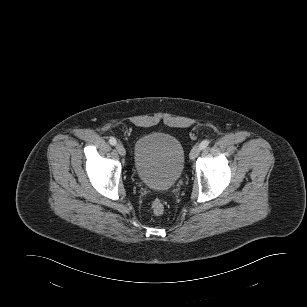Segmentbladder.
I'll use <instances>...</instances> for the list:
<instances>
[{
	"label": "bladder",
	"mask_w": 307,
	"mask_h": 307,
	"mask_svg": "<svg viewBox=\"0 0 307 307\" xmlns=\"http://www.w3.org/2000/svg\"><path fill=\"white\" fill-rule=\"evenodd\" d=\"M133 163L141 183L153 190L166 191L182 175L185 151L175 136L161 132L150 133L136 142Z\"/></svg>",
	"instance_id": "31cf9c89"
}]
</instances>
